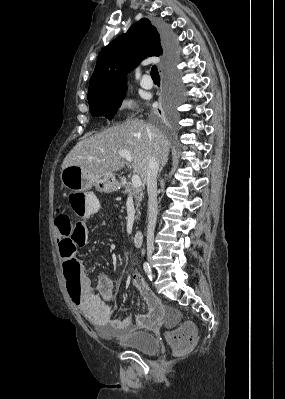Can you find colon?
I'll list each match as a JSON object with an SVG mask.
<instances>
[{"instance_id": "5ec220e1", "label": "colon", "mask_w": 285, "mask_h": 399, "mask_svg": "<svg viewBox=\"0 0 285 399\" xmlns=\"http://www.w3.org/2000/svg\"><path fill=\"white\" fill-rule=\"evenodd\" d=\"M86 201L87 193L74 194L69 198L70 205L77 214L83 211ZM55 224L63 232V238L59 242L60 257L63 261L64 276L69 280L68 292L76 300L79 287L76 275L71 272V266L75 260L77 249L89 239V232L82 222L74 221L70 215L64 212L58 213ZM167 338L173 353L182 355L193 348L197 341V330L191 323H186L168 332Z\"/></svg>"}]
</instances>
